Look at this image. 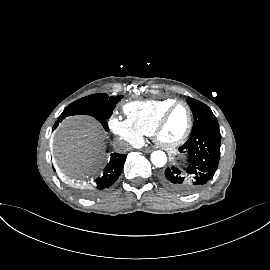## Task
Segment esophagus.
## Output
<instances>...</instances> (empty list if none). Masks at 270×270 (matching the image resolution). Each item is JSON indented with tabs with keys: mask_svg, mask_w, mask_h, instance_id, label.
I'll list each match as a JSON object with an SVG mask.
<instances>
[{
	"mask_svg": "<svg viewBox=\"0 0 270 270\" xmlns=\"http://www.w3.org/2000/svg\"><path fill=\"white\" fill-rule=\"evenodd\" d=\"M141 151L144 153H150L152 151V149L151 148H143V149H141Z\"/></svg>",
	"mask_w": 270,
	"mask_h": 270,
	"instance_id": "esophagus-1",
	"label": "esophagus"
}]
</instances>
